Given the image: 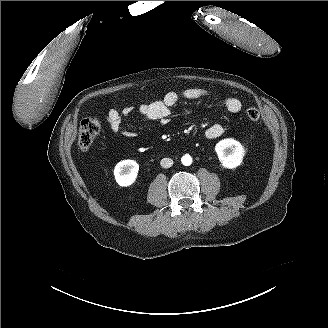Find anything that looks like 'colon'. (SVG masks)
<instances>
[{
  "instance_id": "5ec220e1",
  "label": "colon",
  "mask_w": 328,
  "mask_h": 328,
  "mask_svg": "<svg viewBox=\"0 0 328 328\" xmlns=\"http://www.w3.org/2000/svg\"><path fill=\"white\" fill-rule=\"evenodd\" d=\"M248 119L258 121L260 119L259 111L254 108H248L246 111ZM100 131V123L95 118H85L81 121L78 135V145L83 151H87L93 144Z\"/></svg>"
}]
</instances>
